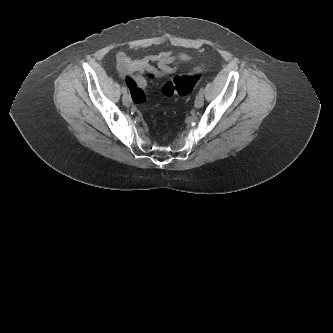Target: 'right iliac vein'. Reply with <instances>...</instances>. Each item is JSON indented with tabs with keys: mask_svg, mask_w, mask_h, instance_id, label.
<instances>
[{
	"mask_svg": "<svg viewBox=\"0 0 333 333\" xmlns=\"http://www.w3.org/2000/svg\"><path fill=\"white\" fill-rule=\"evenodd\" d=\"M122 101H123V104L126 106V107H129L131 105V99L129 97L128 94H125L122 98Z\"/></svg>",
	"mask_w": 333,
	"mask_h": 333,
	"instance_id": "63e3f726",
	"label": "right iliac vein"
}]
</instances>
